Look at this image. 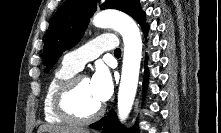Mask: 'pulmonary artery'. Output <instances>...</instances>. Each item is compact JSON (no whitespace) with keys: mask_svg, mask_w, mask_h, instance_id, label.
<instances>
[{"mask_svg":"<svg viewBox=\"0 0 221 133\" xmlns=\"http://www.w3.org/2000/svg\"><path fill=\"white\" fill-rule=\"evenodd\" d=\"M117 48L118 42L114 35L102 34L84 46L67 53L63 62L79 71L87 62L97 58L101 53Z\"/></svg>","mask_w":221,"mask_h":133,"instance_id":"e3ab8cb5","label":"pulmonary artery"}]
</instances>
